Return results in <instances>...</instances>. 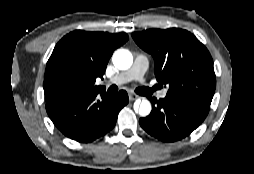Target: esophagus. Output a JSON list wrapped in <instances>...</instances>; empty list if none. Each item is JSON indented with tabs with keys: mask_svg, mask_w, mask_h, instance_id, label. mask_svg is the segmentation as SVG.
Masks as SVG:
<instances>
[{
	"mask_svg": "<svg viewBox=\"0 0 254 174\" xmlns=\"http://www.w3.org/2000/svg\"><path fill=\"white\" fill-rule=\"evenodd\" d=\"M137 98H139L138 95L134 94V93H129V100L130 101H134L136 100Z\"/></svg>",
	"mask_w": 254,
	"mask_h": 174,
	"instance_id": "34e87169",
	"label": "esophagus"
}]
</instances>
